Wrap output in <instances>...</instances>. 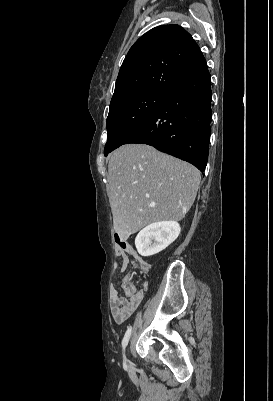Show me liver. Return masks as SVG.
<instances>
[{
  "instance_id": "obj_1",
  "label": "liver",
  "mask_w": 273,
  "mask_h": 401,
  "mask_svg": "<svg viewBox=\"0 0 273 401\" xmlns=\"http://www.w3.org/2000/svg\"><path fill=\"white\" fill-rule=\"evenodd\" d=\"M108 172L113 229L121 239L150 223L184 219L201 180L198 168L149 144L116 148Z\"/></svg>"
}]
</instances>
